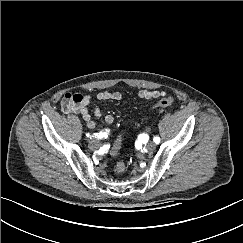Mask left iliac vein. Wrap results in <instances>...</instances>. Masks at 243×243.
Segmentation results:
<instances>
[{
	"label": "left iliac vein",
	"instance_id": "left-iliac-vein-1",
	"mask_svg": "<svg viewBox=\"0 0 243 243\" xmlns=\"http://www.w3.org/2000/svg\"><path fill=\"white\" fill-rule=\"evenodd\" d=\"M146 147L148 150H153L156 147V144L154 142H149Z\"/></svg>",
	"mask_w": 243,
	"mask_h": 243
}]
</instances>
